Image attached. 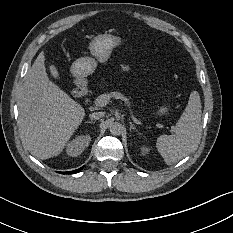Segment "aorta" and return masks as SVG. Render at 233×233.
<instances>
[{
	"label": "aorta",
	"mask_w": 233,
	"mask_h": 233,
	"mask_svg": "<svg viewBox=\"0 0 233 233\" xmlns=\"http://www.w3.org/2000/svg\"><path fill=\"white\" fill-rule=\"evenodd\" d=\"M121 129H122V125L118 122H113L110 125V132L112 135H120L121 134Z\"/></svg>",
	"instance_id": "762f6f07"
}]
</instances>
